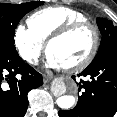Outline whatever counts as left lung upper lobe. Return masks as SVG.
I'll use <instances>...</instances> for the list:
<instances>
[{"mask_svg": "<svg viewBox=\"0 0 117 117\" xmlns=\"http://www.w3.org/2000/svg\"><path fill=\"white\" fill-rule=\"evenodd\" d=\"M96 21L102 34V39L98 53L92 63L106 54L111 48L117 46V26H114L111 20L104 18H97Z\"/></svg>", "mask_w": 117, "mask_h": 117, "instance_id": "left-lung-upper-lobe-1", "label": "left lung upper lobe"}]
</instances>
